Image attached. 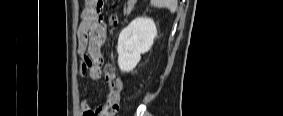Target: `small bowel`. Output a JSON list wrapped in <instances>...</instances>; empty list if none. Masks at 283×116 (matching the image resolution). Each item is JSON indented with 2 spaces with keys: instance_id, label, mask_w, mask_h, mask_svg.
<instances>
[{
  "instance_id": "small-bowel-1",
  "label": "small bowel",
  "mask_w": 283,
  "mask_h": 116,
  "mask_svg": "<svg viewBox=\"0 0 283 116\" xmlns=\"http://www.w3.org/2000/svg\"><path fill=\"white\" fill-rule=\"evenodd\" d=\"M101 0H90L81 13V23L77 31V51L81 56L80 76L88 75L91 80L102 77V47L106 39V26L102 16ZM84 116H110L105 105L93 107L88 101L81 106Z\"/></svg>"
}]
</instances>
